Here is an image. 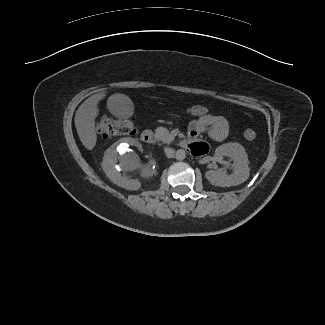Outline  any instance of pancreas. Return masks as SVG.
<instances>
[{
    "instance_id": "obj_1",
    "label": "pancreas",
    "mask_w": 325,
    "mask_h": 325,
    "mask_svg": "<svg viewBox=\"0 0 325 325\" xmlns=\"http://www.w3.org/2000/svg\"><path fill=\"white\" fill-rule=\"evenodd\" d=\"M155 135L159 140L167 144L174 140V137L169 133V131L163 127L156 128Z\"/></svg>"
}]
</instances>
